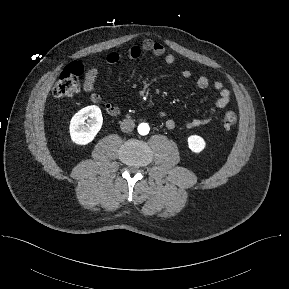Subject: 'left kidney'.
I'll return each mask as SVG.
<instances>
[{
  "mask_svg": "<svg viewBox=\"0 0 289 289\" xmlns=\"http://www.w3.org/2000/svg\"><path fill=\"white\" fill-rule=\"evenodd\" d=\"M188 147L194 153H200L206 146L205 140L198 135L188 137Z\"/></svg>",
  "mask_w": 289,
  "mask_h": 289,
  "instance_id": "1",
  "label": "left kidney"
}]
</instances>
